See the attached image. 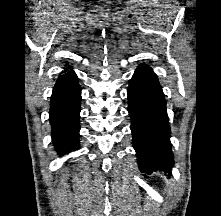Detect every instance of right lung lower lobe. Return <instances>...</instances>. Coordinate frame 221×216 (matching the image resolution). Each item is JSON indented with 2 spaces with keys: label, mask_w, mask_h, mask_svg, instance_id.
I'll list each match as a JSON object with an SVG mask.
<instances>
[{
  "label": "right lung lower lobe",
  "mask_w": 221,
  "mask_h": 216,
  "mask_svg": "<svg viewBox=\"0 0 221 216\" xmlns=\"http://www.w3.org/2000/svg\"><path fill=\"white\" fill-rule=\"evenodd\" d=\"M81 89L75 72L66 71L57 80L49 111L52 142L60 155L79 149Z\"/></svg>",
  "instance_id": "1"
}]
</instances>
